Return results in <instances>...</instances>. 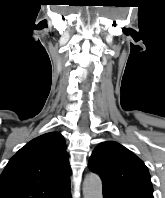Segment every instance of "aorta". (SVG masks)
Masks as SVG:
<instances>
[{
    "instance_id": "aorta-1",
    "label": "aorta",
    "mask_w": 165,
    "mask_h": 198,
    "mask_svg": "<svg viewBox=\"0 0 165 198\" xmlns=\"http://www.w3.org/2000/svg\"><path fill=\"white\" fill-rule=\"evenodd\" d=\"M84 198H103L102 181L95 173L88 174L83 183Z\"/></svg>"
}]
</instances>
